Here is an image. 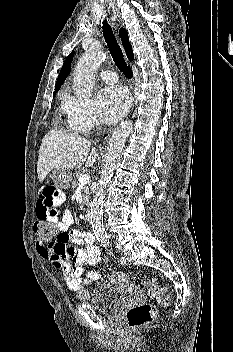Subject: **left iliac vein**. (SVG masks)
I'll list each match as a JSON object with an SVG mask.
<instances>
[{"label":"left iliac vein","mask_w":233,"mask_h":352,"mask_svg":"<svg viewBox=\"0 0 233 352\" xmlns=\"http://www.w3.org/2000/svg\"><path fill=\"white\" fill-rule=\"evenodd\" d=\"M130 256H131L130 252H128V251L123 252V257L126 262L130 260Z\"/></svg>","instance_id":"4c4485c4"}]
</instances>
